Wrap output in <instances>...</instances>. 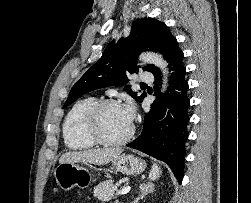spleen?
I'll return each instance as SVG.
<instances>
[{
  "mask_svg": "<svg viewBox=\"0 0 251 203\" xmlns=\"http://www.w3.org/2000/svg\"><path fill=\"white\" fill-rule=\"evenodd\" d=\"M160 175H161L160 167H158L157 164H153L151 171L149 173V179L151 181H154V180L158 179L160 177Z\"/></svg>",
  "mask_w": 251,
  "mask_h": 203,
  "instance_id": "spleen-1",
  "label": "spleen"
}]
</instances>
